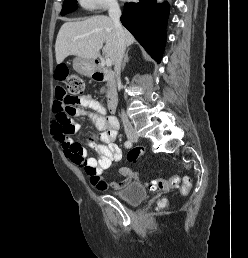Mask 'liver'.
I'll use <instances>...</instances> for the list:
<instances>
[{
    "mask_svg": "<svg viewBox=\"0 0 248 258\" xmlns=\"http://www.w3.org/2000/svg\"><path fill=\"white\" fill-rule=\"evenodd\" d=\"M123 31L126 45H132L134 37L128 30L123 29ZM102 47L105 57L115 64L117 34L114 23L109 17L99 15L84 21L66 22L60 28L55 43L57 64H61L69 55L94 62L100 55Z\"/></svg>",
    "mask_w": 248,
    "mask_h": 258,
    "instance_id": "6515ba94",
    "label": "liver"
}]
</instances>
